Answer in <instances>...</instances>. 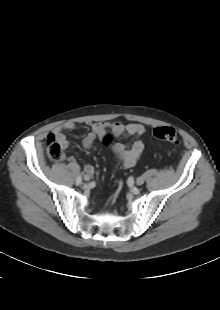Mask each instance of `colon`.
I'll return each mask as SVG.
<instances>
[{"mask_svg": "<svg viewBox=\"0 0 220 310\" xmlns=\"http://www.w3.org/2000/svg\"><path fill=\"white\" fill-rule=\"evenodd\" d=\"M153 136L168 143H176L178 141L176 131L168 126L155 128ZM113 137V133H107L102 137V141L105 145H110L113 141ZM46 154L52 161H60L64 158V147L54 134H49L46 139Z\"/></svg>", "mask_w": 220, "mask_h": 310, "instance_id": "1", "label": "colon"}]
</instances>
